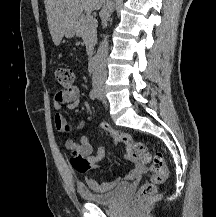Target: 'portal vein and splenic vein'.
<instances>
[{"label":"portal vein and splenic vein","mask_w":216,"mask_h":217,"mask_svg":"<svg viewBox=\"0 0 216 217\" xmlns=\"http://www.w3.org/2000/svg\"><path fill=\"white\" fill-rule=\"evenodd\" d=\"M87 17H88V19H90V20L93 19V17H92L91 15H88Z\"/></svg>","instance_id":"1"}]
</instances>
